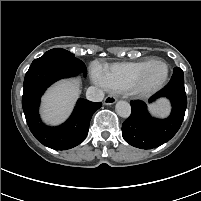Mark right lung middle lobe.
I'll return each mask as SVG.
<instances>
[{
	"label": "right lung middle lobe",
	"mask_w": 201,
	"mask_h": 201,
	"mask_svg": "<svg viewBox=\"0 0 201 201\" xmlns=\"http://www.w3.org/2000/svg\"><path fill=\"white\" fill-rule=\"evenodd\" d=\"M49 53H60L62 55H65V56L71 58L79 66V70L84 74V76H86L87 70H86L85 64L81 60L75 58L74 54H72L71 52L64 50V49L55 48V49H51V50L47 51L45 54H49Z\"/></svg>",
	"instance_id": "obj_1"
}]
</instances>
